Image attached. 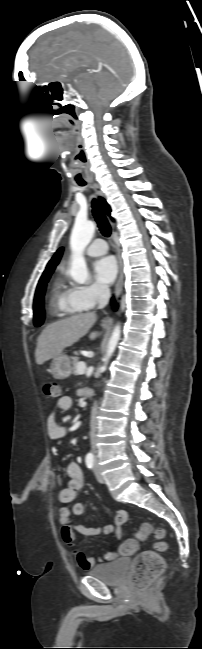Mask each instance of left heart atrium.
<instances>
[{"instance_id":"39dd6f15","label":"left heart atrium","mask_w":202,"mask_h":649,"mask_svg":"<svg viewBox=\"0 0 202 649\" xmlns=\"http://www.w3.org/2000/svg\"><path fill=\"white\" fill-rule=\"evenodd\" d=\"M117 275V263L112 256H105L94 264V276L101 284H110Z\"/></svg>"}]
</instances>
